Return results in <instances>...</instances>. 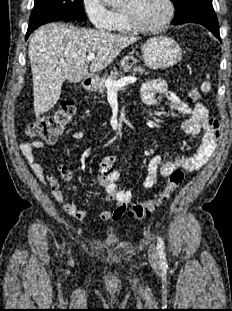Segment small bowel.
I'll return each instance as SVG.
<instances>
[{
    "instance_id": "obj_1",
    "label": "small bowel",
    "mask_w": 232,
    "mask_h": 311,
    "mask_svg": "<svg viewBox=\"0 0 232 311\" xmlns=\"http://www.w3.org/2000/svg\"><path fill=\"white\" fill-rule=\"evenodd\" d=\"M141 98L145 105L156 106L161 101H166L178 113L186 115L187 119L182 123L183 130L190 135H202L200 145L196 152L188 157H179L171 161L162 162L160 155H155L148 163L146 172L142 179L144 188H153L159 176H169L174 170L182 169L188 172L198 170L206 164L211 157L220 136V125L215 119L209 118L208 111L201 103L189 106L175 93L167 89L164 80H150L141 89ZM75 141L85 138V133L75 131L71 134ZM45 143L41 140L25 141L21 144L20 150L33 170L37 178L45 185H49V177L46 175L43 166L36 161L34 150L42 148ZM117 156H106L101 162L100 174L96 176L98 185L104 188L107 202H114L113 210L106 209L100 212V221L112 220L118 222L123 217L127 205L132 201L133 194L129 190H122L118 186L121 171L116 166ZM52 195L63 206L64 211L77 220H82L87 214L85 208H78L75 203L65 202L61 190L52 189Z\"/></svg>"
}]
</instances>
